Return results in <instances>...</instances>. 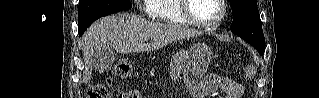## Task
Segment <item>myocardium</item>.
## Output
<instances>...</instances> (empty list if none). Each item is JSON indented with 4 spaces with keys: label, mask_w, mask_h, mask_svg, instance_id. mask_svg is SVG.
Returning a JSON list of instances; mask_svg holds the SVG:
<instances>
[{
    "label": "myocardium",
    "mask_w": 319,
    "mask_h": 98,
    "mask_svg": "<svg viewBox=\"0 0 319 98\" xmlns=\"http://www.w3.org/2000/svg\"><path fill=\"white\" fill-rule=\"evenodd\" d=\"M189 1H191V0H189ZM189 1L188 0H179L180 11H181L183 17L188 22V24H191L193 26L200 27V28L213 29V28H216L217 26H219L226 18L227 6H226L225 0H217L220 7H221V14L216 20H214L212 22H204V21H201V20L195 18L192 15V13L190 12Z\"/></svg>",
    "instance_id": "myocardium-1"
}]
</instances>
